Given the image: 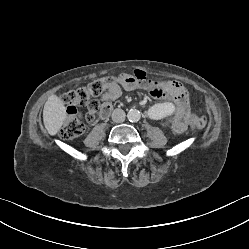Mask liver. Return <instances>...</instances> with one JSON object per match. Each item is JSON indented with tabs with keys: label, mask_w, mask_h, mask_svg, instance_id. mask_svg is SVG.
<instances>
[{
	"label": "liver",
	"mask_w": 249,
	"mask_h": 249,
	"mask_svg": "<svg viewBox=\"0 0 249 249\" xmlns=\"http://www.w3.org/2000/svg\"><path fill=\"white\" fill-rule=\"evenodd\" d=\"M66 119L64 102L56 95H51L44 105L43 122L51 136L57 134Z\"/></svg>",
	"instance_id": "liver-1"
}]
</instances>
